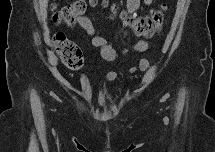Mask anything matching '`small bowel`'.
Masks as SVG:
<instances>
[{"label": "small bowel", "instance_id": "c3829d8e", "mask_svg": "<svg viewBox=\"0 0 215 152\" xmlns=\"http://www.w3.org/2000/svg\"><path fill=\"white\" fill-rule=\"evenodd\" d=\"M151 2H152L151 0H144V3L146 5H150ZM140 5H141V0H129L127 2V8H128L129 14L131 16H135L137 11L140 8ZM77 24L83 30H85V32L90 36L91 44L100 49V53H101L102 58L108 62H112L119 57H125L126 55H128V53L130 51L144 52L148 48L147 41L139 40L138 42H136L131 47L124 48L122 51L118 52L108 43V41L104 37L96 35L95 28H94L93 23L89 17L84 16V15L80 16L77 19ZM149 67H150V65H149L148 60L142 59L139 63V67L138 68H135V67L131 68L130 73L136 74L139 70L142 72H145L149 69ZM116 77H117L116 73L112 72V71L107 72L105 74L106 80L110 81V82L116 80Z\"/></svg>", "mask_w": 215, "mask_h": 152}]
</instances>
